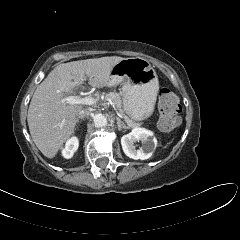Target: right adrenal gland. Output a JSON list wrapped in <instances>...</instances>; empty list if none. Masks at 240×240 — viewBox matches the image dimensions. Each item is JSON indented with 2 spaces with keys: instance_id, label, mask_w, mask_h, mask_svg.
<instances>
[{
  "instance_id": "2a0ac1e0",
  "label": "right adrenal gland",
  "mask_w": 240,
  "mask_h": 240,
  "mask_svg": "<svg viewBox=\"0 0 240 240\" xmlns=\"http://www.w3.org/2000/svg\"><path fill=\"white\" fill-rule=\"evenodd\" d=\"M80 119H82V118H80V117L77 118V124L79 123V120H80Z\"/></svg>"
}]
</instances>
